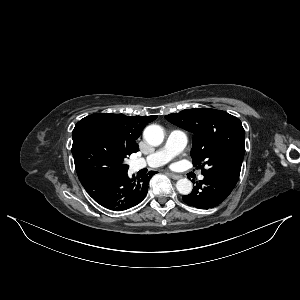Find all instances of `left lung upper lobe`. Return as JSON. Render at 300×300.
Instances as JSON below:
<instances>
[{"instance_id":"1","label":"left lung upper lobe","mask_w":300,"mask_h":300,"mask_svg":"<svg viewBox=\"0 0 300 300\" xmlns=\"http://www.w3.org/2000/svg\"><path fill=\"white\" fill-rule=\"evenodd\" d=\"M165 118L194 133L191 156L194 166L207 165L202 169L204 176L236 185L245 153L244 128L238 118L209 108L186 109Z\"/></svg>"}]
</instances>
